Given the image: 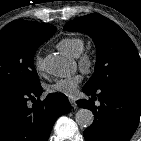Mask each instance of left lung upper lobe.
I'll use <instances>...</instances> for the list:
<instances>
[{
    "mask_svg": "<svg viewBox=\"0 0 141 141\" xmlns=\"http://www.w3.org/2000/svg\"><path fill=\"white\" fill-rule=\"evenodd\" d=\"M64 29L84 32L96 44L95 71L85 88L96 91L116 84L141 85V60L138 51L117 24L94 13L68 22Z\"/></svg>",
    "mask_w": 141,
    "mask_h": 141,
    "instance_id": "obj_1",
    "label": "left lung upper lobe"
}]
</instances>
